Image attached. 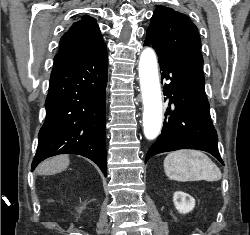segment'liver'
<instances>
[{
  "label": "liver",
  "mask_w": 250,
  "mask_h": 235,
  "mask_svg": "<svg viewBox=\"0 0 250 235\" xmlns=\"http://www.w3.org/2000/svg\"><path fill=\"white\" fill-rule=\"evenodd\" d=\"M69 163L70 160L67 155L56 156L42 162L36 171L39 175H53L66 170Z\"/></svg>",
  "instance_id": "obj_1"
}]
</instances>
